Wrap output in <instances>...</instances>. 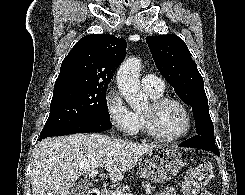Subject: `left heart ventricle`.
Returning a JSON list of instances; mask_svg holds the SVG:
<instances>
[{"label":"left heart ventricle","mask_w":245,"mask_h":195,"mask_svg":"<svg viewBox=\"0 0 245 195\" xmlns=\"http://www.w3.org/2000/svg\"><path fill=\"white\" fill-rule=\"evenodd\" d=\"M149 108L150 104L146 106L143 112H148ZM153 125L156 131L163 135H176L185 128L186 116L178 105L167 104L154 114Z\"/></svg>","instance_id":"left-heart-ventricle-1"}]
</instances>
